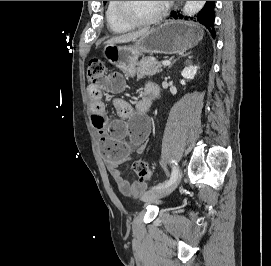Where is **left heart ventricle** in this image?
<instances>
[{
	"label": "left heart ventricle",
	"instance_id": "left-heart-ventricle-1",
	"mask_svg": "<svg viewBox=\"0 0 271 266\" xmlns=\"http://www.w3.org/2000/svg\"><path fill=\"white\" fill-rule=\"evenodd\" d=\"M162 1H126L127 13L137 19L145 20L159 12Z\"/></svg>",
	"mask_w": 271,
	"mask_h": 266
}]
</instances>
